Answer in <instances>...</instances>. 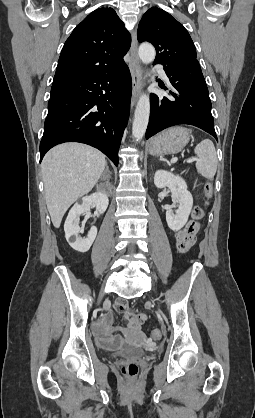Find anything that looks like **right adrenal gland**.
<instances>
[{
  "label": "right adrenal gland",
  "mask_w": 255,
  "mask_h": 418,
  "mask_svg": "<svg viewBox=\"0 0 255 418\" xmlns=\"http://www.w3.org/2000/svg\"><path fill=\"white\" fill-rule=\"evenodd\" d=\"M105 174H107V180H108V179H110V177H111V172L109 171V167H108V165H106V169H105V171H104V173H103L102 177H104V175H105Z\"/></svg>",
  "instance_id": "2a0ac1e0"
}]
</instances>
